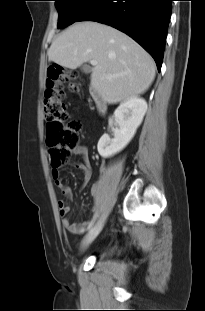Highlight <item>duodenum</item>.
<instances>
[{
	"label": "duodenum",
	"mask_w": 205,
	"mask_h": 311,
	"mask_svg": "<svg viewBox=\"0 0 205 311\" xmlns=\"http://www.w3.org/2000/svg\"><path fill=\"white\" fill-rule=\"evenodd\" d=\"M90 94H91V98L95 104L96 111L99 114H105L107 112L108 105H107L106 101L104 100V98L102 97L99 90L95 87H92Z\"/></svg>",
	"instance_id": "1"
}]
</instances>
